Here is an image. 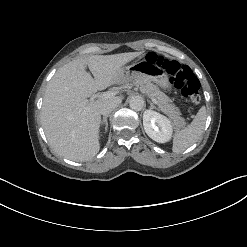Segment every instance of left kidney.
Wrapping results in <instances>:
<instances>
[{"mask_svg": "<svg viewBox=\"0 0 247 247\" xmlns=\"http://www.w3.org/2000/svg\"><path fill=\"white\" fill-rule=\"evenodd\" d=\"M143 126L147 135L158 143H165L171 139L173 131L171 121L155 111L144 112Z\"/></svg>", "mask_w": 247, "mask_h": 247, "instance_id": "obj_1", "label": "left kidney"}]
</instances>
